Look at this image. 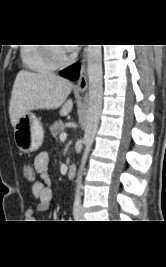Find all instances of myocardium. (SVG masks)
I'll list each match as a JSON object with an SVG mask.
<instances>
[{"instance_id": "f54148a6", "label": "myocardium", "mask_w": 166, "mask_h": 267, "mask_svg": "<svg viewBox=\"0 0 166 267\" xmlns=\"http://www.w3.org/2000/svg\"><path fill=\"white\" fill-rule=\"evenodd\" d=\"M53 45L54 44H46L43 47L48 61L55 67H63L68 65L72 61L73 57L68 53L61 54L58 50V47Z\"/></svg>"}]
</instances>
